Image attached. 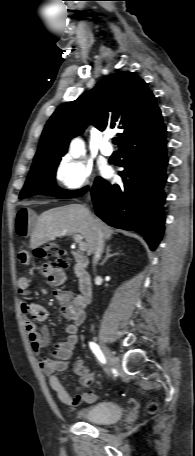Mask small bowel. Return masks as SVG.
Segmentation results:
<instances>
[{
  "label": "small bowel",
  "mask_w": 195,
  "mask_h": 456,
  "mask_svg": "<svg viewBox=\"0 0 195 456\" xmlns=\"http://www.w3.org/2000/svg\"><path fill=\"white\" fill-rule=\"evenodd\" d=\"M33 217V212L27 208H22L17 212L15 230L19 236L25 237L30 235L33 226ZM18 259L24 265H29L31 261L30 254L26 250L19 251ZM40 273L55 287L61 286L66 278L63 268H54L46 263L40 266ZM17 288L20 295L27 296L30 288L29 278L25 276L20 277L17 281ZM53 296L60 304L61 311L69 322L65 329L67 336L65 340L55 345L53 357L40 359V366L48 377L50 387L64 405L76 407L81 402H94L97 399L95 393L84 392L71 396L57 375L59 372L68 368L69 360L78 343V330L85 319V303L80 296L71 291L55 290ZM20 307L24 315V324L31 347L39 355L42 349L49 345L51 335L47 327L39 330L34 321H44L47 317V311L42 305L25 298L20 301ZM74 371L79 376L82 386L89 387L94 383V375L82 360L75 362Z\"/></svg>",
  "instance_id": "small-bowel-1"
}]
</instances>
